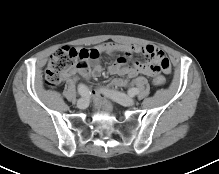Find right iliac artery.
<instances>
[{
  "instance_id": "1",
  "label": "right iliac artery",
  "mask_w": 219,
  "mask_h": 174,
  "mask_svg": "<svg viewBox=\"0 0 219 174\" xmlns=\"http://www.w3.org/2000/svg\"><path fill=\"white\" fill-rule=\"evenodd\" d=\"M78 92L82 97L88 98L90 95V91L84 84L78 85Z\"/></svg>"
}]
</instances>
